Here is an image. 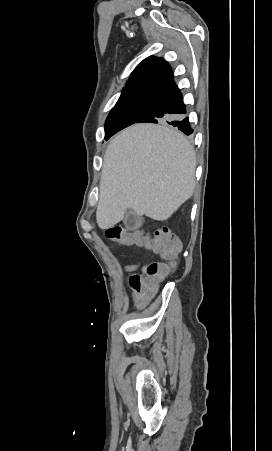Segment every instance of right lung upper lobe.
Returning <instances> with one entry per match:
<instances>
[{
	"label": "right lung upper lobe",
	"mask_w": 272,
	"mask_h": 451,
	"mask_svg": "<svg viewBox=\"0 0 272 451\" xmlns=\"http://www.w3.org/2000/svg\"><path fill=\"white\" fill-rule=\"evenodd\" d=\"M172 81L170 66L161 58L148 57L136 67L118 101L152 98Z\"/></svg>",
	"instance_id": "cb5924a9"
}]
</instances>
